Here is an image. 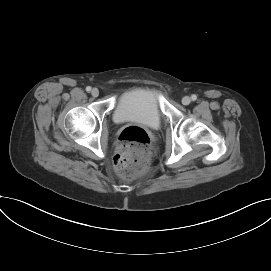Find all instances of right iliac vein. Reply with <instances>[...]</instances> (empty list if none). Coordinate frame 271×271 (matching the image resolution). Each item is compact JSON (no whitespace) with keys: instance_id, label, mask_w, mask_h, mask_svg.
I'll list each match as a JSON object with an SVG mask.
<instances>
[{"instance_id":"obj_1","label":"right iliac vein","mask_w":271,"mask_h":271,"mask_svg":"<svg viewBox=\"0 0 271 271\" xmlns=\"http://www.w3.org/2000/svg\"><path fill=\"white\" fill-rule=\"evenodd\" d=\"M91 95L93 97H97L99 95V90L97 88H93L91 91Z\"/></svg>"}]
</instances>
